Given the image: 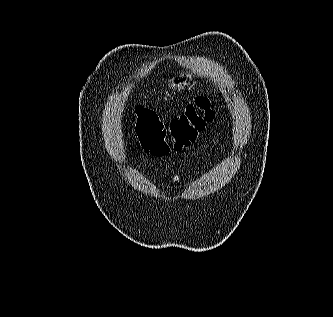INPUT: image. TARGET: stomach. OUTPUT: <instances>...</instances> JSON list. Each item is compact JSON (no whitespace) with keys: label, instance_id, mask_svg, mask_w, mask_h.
I'll list each match as a JSON object with an SVG mask.
<instances>
[{"label":"stomach","instance_id":"1","mask_svg":"<svg viewBox=\"0 0 333 317\" xmlns=\"http://www.w3.org/2000/svg\"><path fill=\"white\" fill-rule=\"evenodd\" d=\"M191 75L186 73H180L170 81V86L174 90H182L190 85Z\"/></svg>","mask_w":333,"mask_h":317}]
</instances>
